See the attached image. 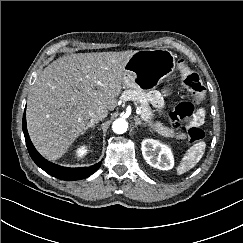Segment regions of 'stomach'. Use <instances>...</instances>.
<instances>
[{"label": "stomach", "instance_id": "obj_1", "mask_svg": "<svg viewBox=\"0 0 243 243\" xmlns=\"http://www.w3.org/2000/svg\"><path fill=\"white\" fill-rule=\"evenodd\" d=\"M174 69V55L167 49L136 51L125 65L124 86L145 90L154 88Z\"/></svg>", "mask_w": 243, "mask_h": 243}]
</instances>
